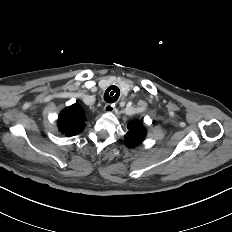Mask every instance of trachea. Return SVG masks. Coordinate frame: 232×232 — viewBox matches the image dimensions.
Here are the masks:
<instances>
[{
	"label": "trachea",
	"mask_w": 232,
	"mask_h": 232,
	"mask_svg": "<svg viewBox=\"0 0 232 232\" xmlns=\"http://www.w3.org/2000/svg\"><path fill=\"white\" fill-rule=\"evenodd\" d=\"M120 96V90L117 86H109L104 94V100L108 103H114L118 100Z\"/></svg>",
	"instance_id": "3493384b"
}]
</instances>
